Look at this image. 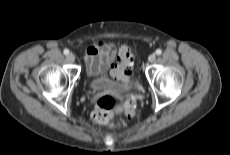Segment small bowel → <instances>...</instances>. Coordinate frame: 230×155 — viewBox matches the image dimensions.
I'll return each instance as SVG.
<instances>
[{
  "instance_id": "obj_1",
  "label": "small bowel",
  "mask_w": 230,
  "mask_h": 155,
  "mask_svg": "<svg viewBox=\"0 0 230 155\" xmlns=\"http://www.w3.org/2000/svg\"><path fill=\"white\" fill-rule=\"evenodd\" d=\"M127 47L119 50L113 45L104 42H95L85 51L87 73L90 76L108 74L113 79L129 83L130 70L126 69L124 53Z\"/></svg>"
}]
</instances>
